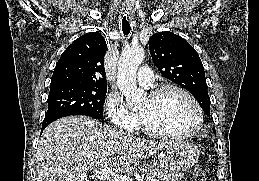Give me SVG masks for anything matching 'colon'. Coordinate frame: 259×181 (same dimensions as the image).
Instances as JSON below:
<instances>
[{
    "mask_svg": "<svg viewBox=\"0 0 259 181\" xmlns=\"http://www.w3.org/2000/svg\"><path fill=\"white\" fill-rule=\"evenodd\" d=\"M190 181H206V176L201 168H195L191 174Z\"/></svg>",
    "mask_w": 259,
    "mask_h": 181,
    "instance_id": "5ec220e1",
    "label": "colon"
}]
</instances>
